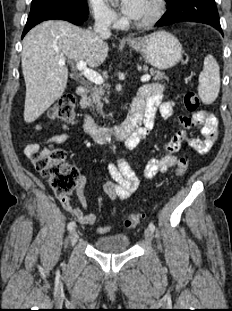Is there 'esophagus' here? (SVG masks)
I'll use <instances>...</instances> for the list:
<instances>
[{"instance_id":"esophagus-1","label":"esophagus","mask_w":232,"mask_h":311,"mask_svg":"<svg viewBox=\"0 0 232 311\" xmlns=\"http://www.w3.org/2000/svg\"><path fill=\"white\" fill-rule=\"evenodd\" d=\"M125 39L128 40V41L133 40L132 37H126Z\"/></svg>"}]
</instances>
